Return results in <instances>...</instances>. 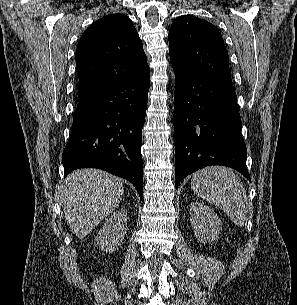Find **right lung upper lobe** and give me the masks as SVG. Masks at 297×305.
I'll return each mask as SVG.
<instances>
[{
    "mask_svg": "<svg viewBox=\"0 0 297 305\" xmlns=\"http://www.w3.org/2000/svg\"><path fill=\"white\" fill-rule=\"evenodd\" d=\"M146 68L147 58L132 21L123 14L104 16L87 28L77 46L78 101Z\"/></svg>",
    "mask_w": 297,
    "mask_h": 305,
    "instance_id": "cb5924a9",
    "label": "right lung upper lobe"
}]
</instances>
